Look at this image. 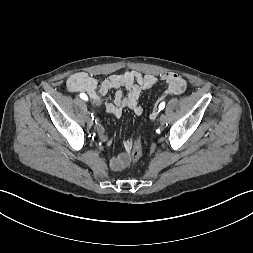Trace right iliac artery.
Masks as SVG:
<instances>
[{
  "mask_svg": "<svg viewBox=\"0 0 253 253\" xmlns=\"http://www.w3.org/2000/svg\"><path fill=\"white\" fill-rule=\"evenodd\" d=\"M80 98H82L83 100H88V97H87V95L85 93H81L80 94ZM91 117H92V119H94L93 113H91Z\"/></svg>",
  "mask_w": 253,
  "mask_h": 253,
  "instance_id": "82829eb1",
  "label": "right iliac artery"
}]
</instances>
